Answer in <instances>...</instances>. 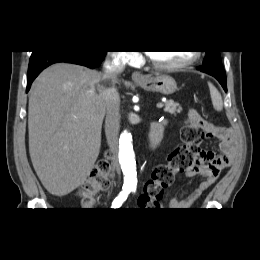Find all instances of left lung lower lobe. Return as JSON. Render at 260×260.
<instances>
[{
  "mask_svg": "<svg viewBox=\"0 0 260 260\" xmlns=\"http://www.w3.org/2000/svg\"><path fill=\"white\" fill-rule=\"evenodd\" d=\"M199 70L201 72L207 73L213 76L214 78H216L219 81V83L222 85L225 92H227V86H226L227 80H226V75L222 64H217V63H212L208 65L202 64V66L199 67Z\"/></svg>",
  "mask_w": 260,
  "mask_h": 260,
  "instance_id": "obj_1",
  "label": "left lung lower lobe"
}]
</instances>
